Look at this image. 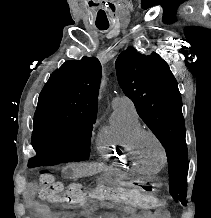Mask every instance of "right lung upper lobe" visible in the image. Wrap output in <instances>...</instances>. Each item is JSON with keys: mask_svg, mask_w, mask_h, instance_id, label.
I'll return each mask as SVG.
<instances>
[{"mask_svg": "<svg viewBox=\"0 0 211 218\" xmlns=\"http://www.w3.org/2000/svg\"><path fill=\"white\" fill-rule=\"evenodd\" d=\"M100 79L97 58L66 61L51 74L40 93L37 109L96 115Z\"/></svg>", "mask_w": 211, "mask_h": 218, "instance_id": "1", "label": "right lung upper lobe"}]
</instances>
